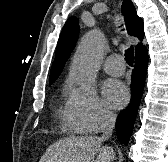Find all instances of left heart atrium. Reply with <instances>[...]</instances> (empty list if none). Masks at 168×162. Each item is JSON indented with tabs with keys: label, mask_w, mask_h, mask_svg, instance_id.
<instances>
[{
	"label": "left heart atrium",
	"mask_w": 168,
	"mask_h": 162,
	"mask_svg": "<svg viewBox=\"0 0 168 162\" xmlns=\"http://www.w3.org/2000/svg\"><path fill=\"white\" fill-rule=\"evenodd\" d=\"M103 96L108 106L120 109L127 103L129 93L122 82L110 79L103 85Z\"/></svg>",
	"instance_id": "1"
}]
</instances>
